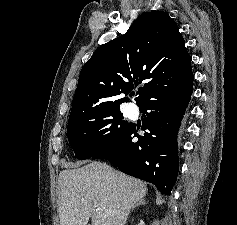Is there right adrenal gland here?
<instances>
[{"instance_id":"right-adrenal-gland-1","label":"right adrenal gland","mask_w":237,"mask_h":225,"mask_svg":"<svg viewBox=\"0 0 237 225\" xmlns=\"http://www.w3.org/2000/svg\"><path fill=\"white\" fill-rule=\"evenodd\" d=\"M140 205H145V201L142 199L138 203H136L131 209L133 210L134 208L140 206Z\"/></svg>"}]
</instances>
